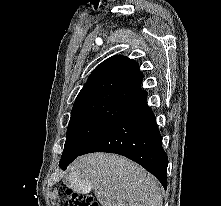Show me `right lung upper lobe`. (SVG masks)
<instances>
[{"mask_svg": "<svg viewBox=\"0 0 221 206\" xmlns=\"http://www.w3.org/2000/svg\"><path fill=\"white\" fill-rule=\"evenodd\" d=\"M142 81L137 62L121 55L110 57L90 74L73 110L93 105L128 108L147 95Z\"/></svg>", "mask_w": 221, "mask_h": 206, "instance_id": "1", "label": "right lung upper lobe"}]
</instances>
